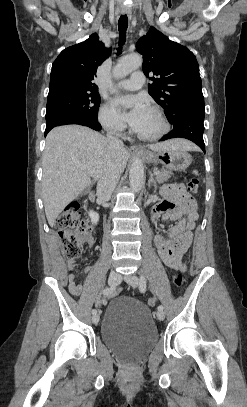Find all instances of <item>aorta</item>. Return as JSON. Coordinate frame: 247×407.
<instances>
[{
    "label": "aorta",
    "instance_id": "obj_1",
    "mask_svg": "<svg viewBox=\"0 0 247 407\" xmlns=\"http://www.w3.org/2000/svg\"><path fill=\"white\" fill-rule=\"evenodd\" d=\"M142 65V57L131 54L121 58L113 68V75L120 79L126 77L132 71ZM130 187L133 192H139L144 184V166L139 158H133L129 169Z\"/></svg>",
    "mask_w": 247,
    "mask_h": 407
}]
</instances>
